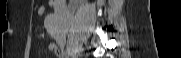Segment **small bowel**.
Masks as SVG:
<instances>
[{
	"mask_svg": "<svg viewBox=\"0 0 181 58\" xmlns=\"http://www.w3.org/2000/svg\"><path fill=\"white\" fill-rule=\"evenodd\" d=\"M49 5L54 7V9L56 10L54 3H50ZM44 11H45V7H41L39 10V12H41V13ZM49 50L54 52L56 55H59V53H60L59 47L57 46L56 43H51L49 45Z\"/></svg>",
	"mask_w": 181,
	"mask_h": 58,
	"instance_id": "small-bowel-1",
	"label": "small bowel"
}]
</instances>
